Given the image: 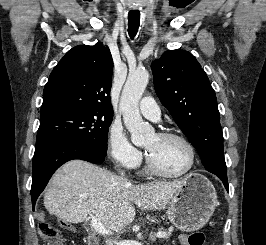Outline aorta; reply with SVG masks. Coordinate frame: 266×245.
<instances>
[{
	"label": "aorta",
	"instance_id": "obj_1",
	"mask_svg": "<svg viewBox=\"0 0 266 245\" xmlns=\"http://www.w3.org/2000/svg\"><path fill=\"white\" fill-rule=\"evenodd\" d=\"M148 80V70L129 72L119 102V108L123 112L124 125L131 133L133 145H145L148 137L154 135L153 127L144 123L139 110V100Z\"/></svg>",
	"mask_w": 266,
	"mask_h": 245
}]
</instances>
